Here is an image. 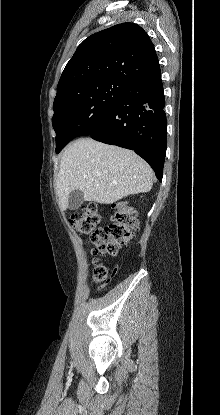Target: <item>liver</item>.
I'll return each instance as SVG.
<instances>
[{
    "mask_svg": "<svg viewBox=\"0 0 220 415\" xmlns=\"http://www.w3.org/2000/svg\"><path fill=\"white\" fill-rule=\"evenodd\" d=\"M152 177L150 166L133 151L81 138L64 151L56 188L65 210L73 190L82 191L85 201L111 204L150 191Z\"/></svg>",
    "mask_w": 220,
    "mask_h": 415,
    "instance_id": "liver-1",
    "label": "liver"
}]
</instances>
